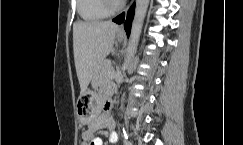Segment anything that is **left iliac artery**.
I'll list each match as a JSON object with an SVG mask.
<instances>
[{"instance_id": "44dca946", "label": "left iliac artery", "mask_w": 243, "mask_h": 145, "mask_svg": "<svg viewBox=\"0 0 243 145\" xmlns=\"http://www.w3.org/2000/svg\"><path fill=\"white\" fill-rule=\"evenodd\" d=\"M124 145H130V142L127 140V136L125 135V138L123 140Z\"/></svg>"}]
</instances>
